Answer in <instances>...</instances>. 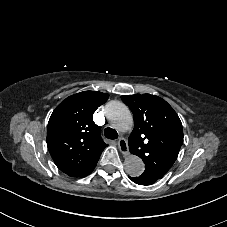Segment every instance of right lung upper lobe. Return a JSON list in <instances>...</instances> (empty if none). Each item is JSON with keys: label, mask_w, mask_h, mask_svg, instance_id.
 Segmentation results:
<instances>
[{"label": "right lung upper lobe", "mask_w": 227, "mask_h": 227, "mask_svg": "<svg viewBox=\"0 0 227 227\" xmlns=\"http://www.w3.org/2000/svg\"><path fill=\"white\" fill-rule=\"evenodd\" d=\"M108 97L97 91L74 94L62 101L49 119L48 150L56 166L69 176H86L107 146L93 113Z\"/></svg>", "instance_id": "obj_1"}]
</instances>
